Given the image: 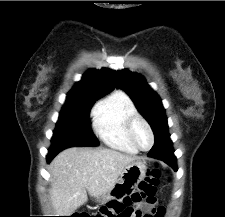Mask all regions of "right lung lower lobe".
I'll return each instance as SVG.
<instances>
[{
    "label": "right lung lower lobe",
    "mask_w": 225,
    "mask_h": 217,
    "mask_svg": "<svg viewBox=\"0 0 225 217\" xmlns=\"http://www.w3.org/2000/svg\"><path fill=\"white\" fill-rule=\"evenodd\" d=\"M59 152H60V151H58V150L49 149V153H48V155H47V161L50 162V161L53 159V157H54L55 155H57Z\"/></svg>",
    "instance_id": "1"
}]
</instances>
